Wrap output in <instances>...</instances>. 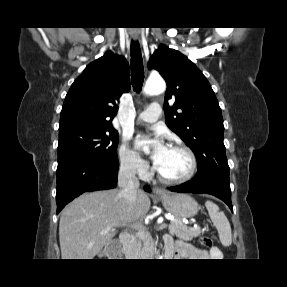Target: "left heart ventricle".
<instances>
[{"label":"left heart ventricle","mask_w":287,"mask_h":287,"mask_svg":"<svg viewBox=\"0 0 287 287\" xmlns=\"http://www.w3.org/2000/svg\"><path fill=\"white\" fill-rule=\"evenodd\" d=\"M157 168L168 178H179L188 172L190 160L184 151L168 147Z\"/></svg>","instance_id":"b2bd125f"}]
</instances>
